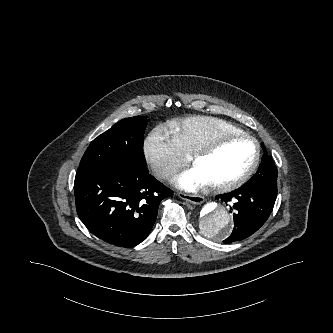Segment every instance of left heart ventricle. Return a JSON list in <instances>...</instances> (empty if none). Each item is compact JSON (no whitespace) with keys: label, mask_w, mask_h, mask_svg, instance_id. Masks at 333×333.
Returning a JSON list of instances; mask_svg holds the SVG:
<instances>
[{"label":"left heart ventricle","mask_w":333,"mask_h":333,"mask_svg":"<svg viewBox=\"0 0 333 333\" xmlns=\"http://www.w3.org/2000/svg\"><path fill=\"white\" fill-rule=\"evenodd\" d=\"M255 145L248 140H228L220 144L209 155L194 163L206 179L207 184H220L234 180L251 164Z\"/></svg>","instance_id":"obj_1"}]
</instances>
